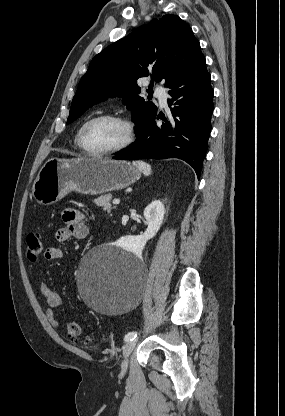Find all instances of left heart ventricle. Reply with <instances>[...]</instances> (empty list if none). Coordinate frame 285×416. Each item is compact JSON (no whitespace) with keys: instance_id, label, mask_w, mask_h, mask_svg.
<instances>
[{"instance_id":"1","label":"left heart ventricle","mask_w":285,"mask_h":416,"mask_svg":"<svg viewBox=\"0 0 285 416\" xmlns=\"http://www.w3.org/2000/svg\"><path fill=\"white\" fill-rule=\"evenodd\" d=\"M123 136L122 127L109 119H98L91 122L83 134L85 145L95 151L116 147L123 140Z\"/></svg>"}]
</instances>
